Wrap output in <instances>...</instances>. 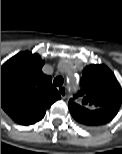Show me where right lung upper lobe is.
<instances>
[{"label":"right lung upper lobe","instance_id":"cb5924a9","mask_svg":"<svg viewBox=\"0 0 122 154\" xmlns=\"http://www.w3.org/2000/svg\"><path fill=\"white\" fill-rule=\"evenodd\" d=\"M38 54L20 52L1 66V107L18 124L41 120L61 98L50 76L43 74Z\"/></svg>","mask_w":122,"mask_h":154}]
</instances>
